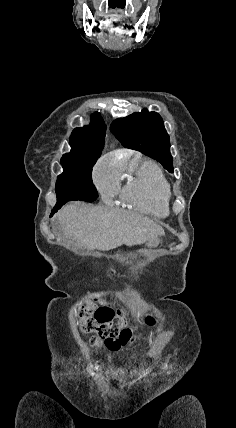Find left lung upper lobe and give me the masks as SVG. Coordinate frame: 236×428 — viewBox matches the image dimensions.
Instances as JSON below:
<instances>
[{
  "label": "left lung upper lobe",
  "mask_w": 236,
  "mask_h": 428,
  "mask_svg": "<svg viewBox=\"0 0 236 428\" xmlns=\"http://www.w3.org/2000/svg\"><path fill=\"white\" fill-rule=\"evenodd\" d=\"M110 129L124 147L138 150L159 161L169 172H174L169 135L158 113L144 109L115 120Z\"/></svg>",
  "instance_id": "5c2ea615"
}]
</instances>
